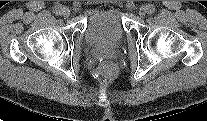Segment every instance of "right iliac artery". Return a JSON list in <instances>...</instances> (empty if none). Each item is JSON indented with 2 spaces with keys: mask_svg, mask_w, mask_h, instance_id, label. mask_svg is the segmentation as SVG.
<instances>
[{
  "mask_svg": "<svg viewBox=\"0 0 207 121\" xmlns=\"http://www.w3.org/2000/svg\"><path fill=\"white\" fill-rule=\"evenodd\" d=\"M61 11H62V7H61L60 5H58V6H56V7L54 8V13H55L56 15H60V14H61Z\"/></svg>",
  "mask_w": 207,
  "mask_h": 121,
  "instance_id": "obj_1",
  "label": "right iliac artery"
}]
</instances>
